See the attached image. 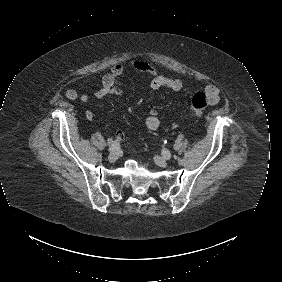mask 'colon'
<instances>
[{"instance_id":"colon-1","label":"colon","mask_w":282,"mask_h":282,"mask_svg":"<svg viewBox=\"0 0 282 282\" xmlns=\"http://www.w3.org/2000/svg\"><path fill=\"white\" fill-rule=\"evenodd\" d=\"M211 100H209L207 94L204 92H198L192 97L191 101V109L190 112L193 115H199L201 114L206 106L210 103Z\"/></svg>"}]
</instances>
